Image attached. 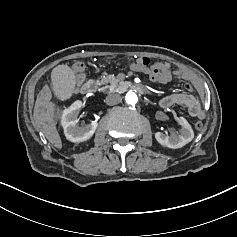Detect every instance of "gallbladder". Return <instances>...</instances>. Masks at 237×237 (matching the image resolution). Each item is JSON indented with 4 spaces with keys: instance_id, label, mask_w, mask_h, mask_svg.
<instances>
[{
    "instance_id": "gallbladder-1",
    "label": "gallbladder",
    "mask_w": 237,
    "mask_h": 237,
    "mask_svg": "<svg viewBox=\"0 0 237 237\" xmlns=\"http://www.w3.org/2000/svg\"><path fill=\"white\" fill-rule=\"evenodd\" d=\"M51 75V83L56 97L61 100H68L74 91V72L66 64H59L53 69Z\"/></svg>"
}]
</instances>
